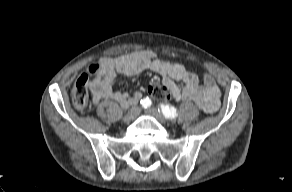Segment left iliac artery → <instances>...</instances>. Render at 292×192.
I'll use <instances>...</instances> for the list:
<instances>
[{
	"instance_id": "44dca946",
	"label": "left iliac artery",
	"mask_w": 292,
	"mask_h": 192,
	"mask_svg": "<svg viewBox=\"0 0 292 192\" xmlns=\"http://www.w3.org/2000/svg\"><path fill=\"white\" fill-rule=\"evenodd\" d=\"M161 110L165 118L174 119L178 116V112L174 107H169L168 105L162 104Z\"/></svg>"
}]
</instances>
